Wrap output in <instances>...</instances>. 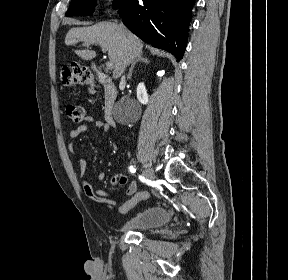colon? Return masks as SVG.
I'll return each instance as SVG.
<instances>
[{
	"label": "colon",
	"instance_id": "obj_1",
	"mask_svg": "<svg viewBox=\"0 0 288 280\" xmlns=\"http://www.w3.org/2000/svg\"><path fill=\"white\" fill-rule=\"evenodd\" d=\"M62 82L66 86H73L76 84H88L91 86V90L94 91V84L91 74L88 69L79 65H72L69 68H65L61 74ZM67 114L70 119L76 123H80L85 118V109L81 105H68ZM147 197V193L139 192L134 198L127 201L120 209L119 212L123 213L128 208L137 204L139 201L144 200Z\"/></svg>",
	"mask_w": 288,
	"mask_h": 280
}]
</instances>
